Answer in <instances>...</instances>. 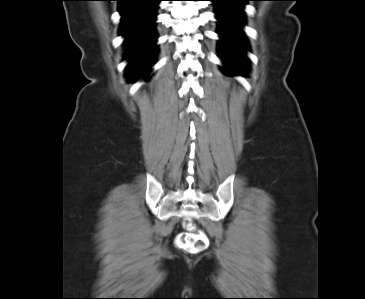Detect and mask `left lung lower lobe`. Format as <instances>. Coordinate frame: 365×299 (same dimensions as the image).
I'll use <instances>...</instances> for the list:
<instances>
[{"label": "left lung lower lobe", "mask_w": 365, "mask_h": 299, "mask_svg": "<svg viewBox=\"0 0 365 299\" xmlns=\"http://www.w3.org/2000/svg\"><path fill=\"white\" fill-rule=\"evenodd\" d=\"M216 7L215 14L219 20L218 34L220 58L224 62V72L229 75H244L246 55L244 48L247 47L243 35L244 23L243 6L250 0H210Z\"/></svg>", "instance_id": "left-lung-lower-lobe-1"}]
</instances>
